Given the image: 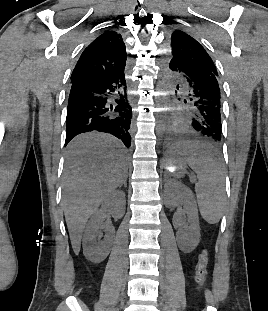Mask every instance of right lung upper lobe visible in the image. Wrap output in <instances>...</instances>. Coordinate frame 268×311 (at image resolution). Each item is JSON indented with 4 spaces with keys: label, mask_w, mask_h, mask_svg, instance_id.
<instances>
[{
    "label": "right lung upper lobe",
    "mask_w": 268,
    "mask_h": 311,
    "mask_svg": "<svg viewBox=\"0 0 268 311\" xmlns=\"http://www.w3.org/2000/svg\"><path fill=\"white\" fill-rule=\"evenodd\" d=\"M126 58L121 35L115 31H106L83 51L72 72L71 82L119 74L125 69Z\"/></svg>",
    "instance_id": "right-lung-upper-lobe-1"
}]
</instances>
